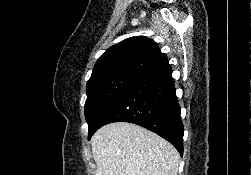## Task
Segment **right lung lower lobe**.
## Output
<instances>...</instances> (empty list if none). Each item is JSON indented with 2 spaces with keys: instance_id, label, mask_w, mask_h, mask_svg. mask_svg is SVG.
I'll return each mask as SVG.
<instances>
[{
  "instance_id": "obj_1",
  "label": "right lung lower lobe",
  "mask_w": 251,
  "mask_h": 175,
  "mask_svg": "<svg viewBox=\"0 0 251 175\" xmlns=\"http://www.w3.org/2000/svg\"><path fill=\"white\" fill-rule=\"evenodd\" d=\"M171 74L172 69L132 84L103 114L98 128L112 122L134 123L168 140L182 156L184 127Z\"/></svg>"
}]
</instances>
